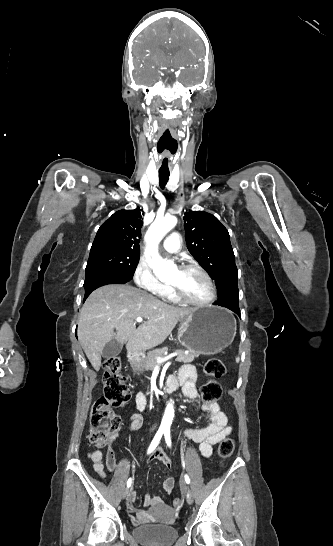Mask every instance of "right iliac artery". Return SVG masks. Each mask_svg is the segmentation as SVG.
I'll use <instances>...</instances> for the list:
<instances>
[{"label":"right iliac artery","mask_w":333,"mask_h":546,"mask_svg":"<svg viewBox=\"0 0 333 546\" xmlns=\"http://www.w3.org/2000/svg\"><path fill=\"white\" fill-rule=\"evenodd\" d=\"M164 433V430L162 429H159L156 433V435L154 436L149 448H148V454H150L151 452L154 451V449L158 446L161 438H162V435ZM132 484V478H129L128 481H127V487L129 488Z\"/></svg>","instance_id":"1"}]
</instances>
